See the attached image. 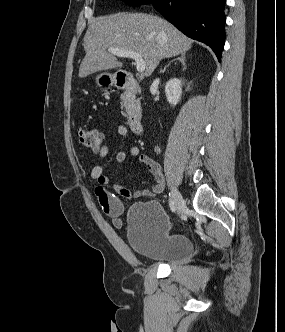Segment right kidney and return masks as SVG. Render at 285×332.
<instances>
[{
  "mask_svg": "<svg viewBox=\"0 0 285 332\" xmlns=\"http://www.w3.org/2000/svg\"><path fill=\"white\" fill-rule=\"evenodd\" d=\"M165 93L168 102L171 105H177L181 99L182 88L181 81L178 78H172L165 85Z\"/></svg>",
  "mask_w": 285,
  "mask_h": 332,
  "instance_id": "1",
  "label": "right kidney"
}]
</instances>
